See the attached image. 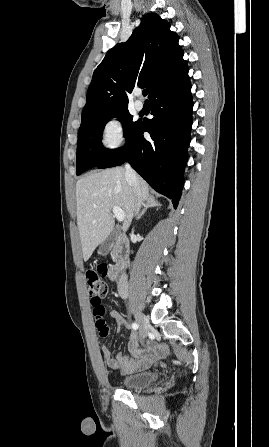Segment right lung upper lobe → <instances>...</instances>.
<instances>
[{
  "label": "right lung upper lobe",
  "mask_w": 269,
  "mask_h": 447,
  "mask_svg": "<svg viewBox=\"0 0 269 447\" xmlns=\"http://www.w3.org/2000/svg\"><path fill=\"white\" fill-rule=\"evenodd\" d=\"M178 40L158 14L144 15L129 40L110 49L94 71L80 128L108 112L128 108L134 87L144 86L150 94L174 75L187 63Z\"/></svg>",
  "instance_id": "1"
}]
</instances>
